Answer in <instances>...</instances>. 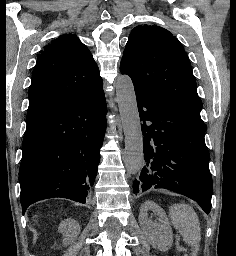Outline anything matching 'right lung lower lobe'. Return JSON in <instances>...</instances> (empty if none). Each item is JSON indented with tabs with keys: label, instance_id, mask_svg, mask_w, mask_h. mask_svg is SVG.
Wrapping results in <instances>:
<instances>
[{
	"label": "right lung lower lobe",
	"instance_id": "1",
	"mask_svg": "<svg viewBox=\"0 0 236 256\" xmlns=\"http://www.w3.org/2000/svg\"><path fill=\"white\" fill-rule=\"evenodd\" d=\"M106 112L100 87L26 128L19 170L23 214L47 198L86 202L100 161Z\"/></svg>",
	"mask_w": 236,
	"mask_h": 256
}]
</instances>
